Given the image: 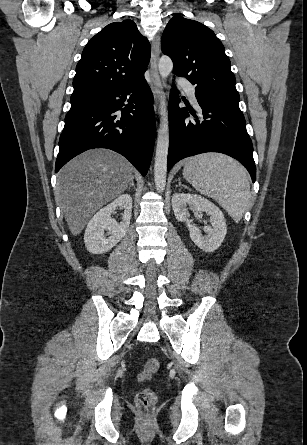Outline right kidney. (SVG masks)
Masks as SVG:
<instances>
[{
    "label": "right kidney",
    "instance_id": "obj_1",
    "mask_svg": "<svg viewBox=\"0 0 307 445\" xmlns=\"http://www.w3.org/2000/svg\"><path fill=\"white\" fill-rule=\"evenodd\" d=\"M117 206L124 208L121 223H116L115 218L110 216ZM131 210L132 198L130 194H121L111 204H107L99 212H96L93 218L89 220L84 235L87 251L93 253V255H103V253H108L110 249H113L128 231ZM104 231H109L107 235H110V237H104Z\"/></svg>",
    "mask_w": 307,
    "mask_h": 445
}]
</instances>
